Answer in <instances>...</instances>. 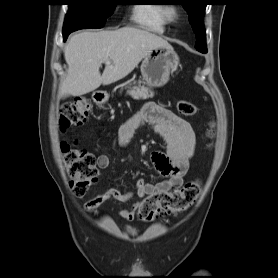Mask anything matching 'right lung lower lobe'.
<instances>
[{
  "label": "right lung lower lobe",
  "instance_id": "98d812e1",
  "mask_svg": "<svg viewBox=\"0 0 278 278\" xmlns=\"http://www.w3.org/2000/svg\"><path fill=\"white\" fill-rule=\"evenodd\" d=\"M63 37H64V41H65L66 38L68 37V33H63Z\"/></svg>",
  "mask_w": 278,
  "mask_h": 278
}]
</instances>
